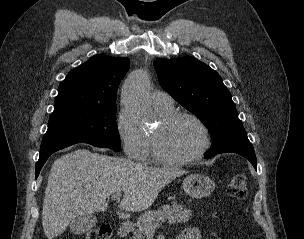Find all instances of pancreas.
I'll use <instances>...</instances> for the list:
<instances>
[{
    "label": "pancreas",
    "mask_w": 304,
    "mask_h": 239,
    "mask_svg": "<svg viewBox=\"0 0 304 239\" xmlns=\"http://www.w3.org/2000/svg\"><path fill=\"white\" fill-rule=\"evenodd\" d=\"M192 211L186 209L181 204L173 202L172 205H164L157 210L147 211L142 214L137 219V222L133 224V234L134 239H145L146 232L150 230L155 224H160L161 222L169 221L170 224L175 223H186Z\"/></svg>",
    "instance_id": "obj_1"
}]
</instances>
